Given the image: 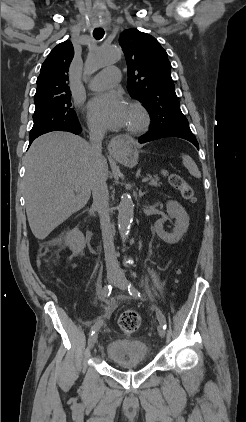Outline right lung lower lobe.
<instances>
[{"mask_svg":"<svg viewBox=\"0 0 246 422\" xmlns=\"http://www.w3.org/2000/svg\"><path fill=\"white\" fill-rule=\"evenodd\" d=\"M51 131H68V132H71V133H74V134H80L82 129L80 127V124L78 123L76 126H73V127H70V128H54V129L47 131V132H51ZM47 132H45V133H47ZM40 135H42V134H40ZM40 135L29 138V146Z\"/></svg>","mask_w":246,"mask_h":422,"instance_id":"98d812e1","label":"right lung lower lobe"}]
</instances>
